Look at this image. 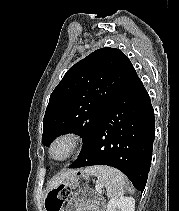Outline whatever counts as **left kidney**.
<instances>
[{"instance_id": "left-kidney-1", "label": "left kidney", "mask_w": 179, "mask_h": 211, "mask_svg": "<svg viewBox=\"0 0 179 211\" xmlns=\"http://www.w3.org/2000/svg\"><path fill=\"white\" fill-rule=\"evenodd\" d=\"M106 211H135V200L132 197L112 198Z\"/></svg>"}]
</instances>
